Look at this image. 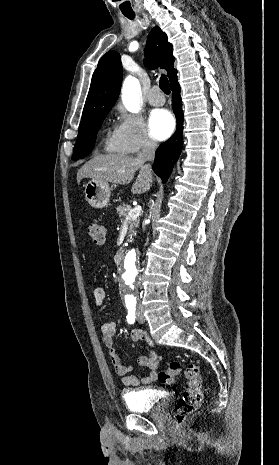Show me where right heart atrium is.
<instances>
[{"label":"right heart atrium","mask_w":279,"mask_h":465,"mask_svg":"<svg viewBox=\"0 0 279 465\" xmlns=\"http://www.w3.org/2000/svg\"><path fill=\"white\" fill-rule=\"evenodd\" d=\"M118 123L113 138L126 153H138L156 147V141L148 132L143 119L118 107Z\"/></svg>","instance_id":"1"}]
</instances>
